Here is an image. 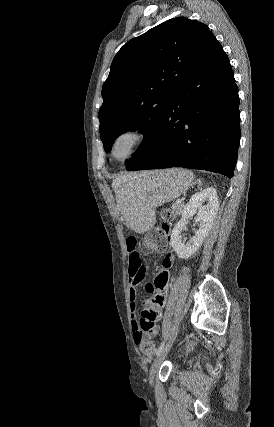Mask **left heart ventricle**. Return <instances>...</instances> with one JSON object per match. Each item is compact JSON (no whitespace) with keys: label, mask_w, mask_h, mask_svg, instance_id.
Wrapping results in <instances>:
<instances>
[{"label":"left heart ventricle","mask_w":274,"mask_h":427,"mask_svg":"<svg viewBox=\"0 0 274 427\" xmlns=\"http://www.w3.org/2000/svg\"><path fill=\"white\" fill-rule=\"evenodd\" d=\"M132 139L129 136H123L117 140L113 149L115 159L121 160L130 152Z\"/></svg>","instance_id":"left-heart-ventricle-1"}]
</instances>
